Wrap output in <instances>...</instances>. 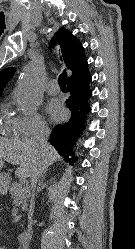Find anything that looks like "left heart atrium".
<instances>
[{
    "label": "left heart atrium",
    "mask_w": 135,
    "mask_h": 249,
    "mask_svg": "<svg viewBox=\"0 0 135 249\" xmlns=\"http://www.w3.org/2000/svg\"><path fill=\"white\" fill-rule=\"evenodd\" d=\"M47 112L53 120H58L63 114V107L58 101L52 100L47 105Z\"/></svg>",
    "instance_id": "obj_1"
}]
</instances>
